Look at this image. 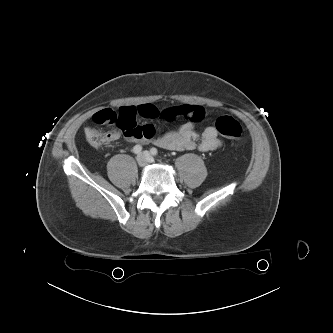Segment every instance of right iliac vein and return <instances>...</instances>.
Here are the masks:
<instances>
[{"label": "right iliac vein", "mask_w": 333, "mask_h": 333, "mask_svg": "<svg viewBox=\"0 0 333 333\" xmlns=\"http://www.w3.org/2000/svg\"><path fill=\"white\" fill-rule=\"evenodd\" d=\"M136 160L140 167L146 166L148 162L147 157L144 153L137 155Z\"/></svg>", "instance_id": "right-iliac-vein-1"}]
</instances>
